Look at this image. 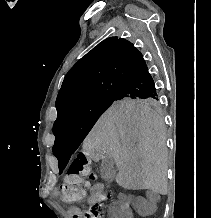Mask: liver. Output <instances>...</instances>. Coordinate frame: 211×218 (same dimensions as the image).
Masks as SVG:
<instances>
[{
  "label": "liver",
  "instance_id": "obj_1",
  "mask_svg": "<svg viewBox=\"0 0 211 218\" xmlns=\"http://www.w3.org/2000/svg\"><path fill=\"white\" fill-rule=\"evenodd\" d=\"M163 122L148 108L113 104L83 142V154L113 158L115 180L126 190L167 194V160Z\"/></svg>",
  "mask_w": 211,
  "mask_h": 218
}]
</instances>
